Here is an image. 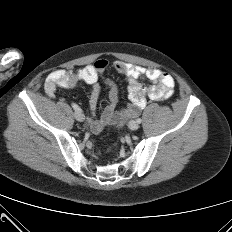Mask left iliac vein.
Here are the masks:
<instances>
[{
    "label": "left iliac vein",
    "mask_w": 232,
    "mask_h": 232,
    "mask_svg": "<svg viewBox=\"0 0 232 232\" xmlns=\"http://www.w3.org/2000/svg\"><path fill=\"white\" fill-rule=\"evenodd\" d=\"M129 128L131 130H137L139 128V124L137 123V121L132 120L129 123Z\"/></svg>",
    "instance_id": "1"
}]
</instances>
